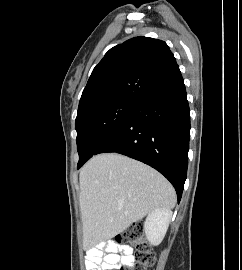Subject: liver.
<instances>
[{"label": "liver", "mask_w": 242, "mask_h": 270, "mask_svg": "<svg viewBox=\"0 0 242 270\" xmlns=\"http://www.w3.org/2000/svg\"><path fill=\"white\" fill-rule=\"evenodd\" d=\"M79 181L85 247L107 241L153 210H170L176 203L174 188L160 173L120 154L92 157Z\"/></svg>", "instance_id": "obj_1"}]
</instances>
